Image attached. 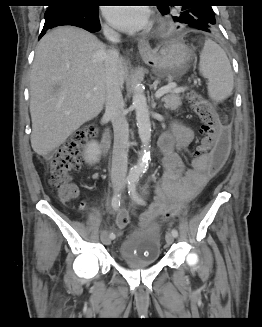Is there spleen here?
Returning <instances> with one entry per match:
<instances>
[{
  "instance_id": "spleen-1",
  "label": "spleen",
  "mask_w": 262,
  "mask_h": 327,
  "mask_svg": "<svg viewBox=\"0 0 262 327\" xmlns=\"http://www.w3.org/2000/svg\"><path fill=\"white\" fill-rule=\"evenodd\" d=\"M199 70L208 79V94L216 102L228 98L233 90V72L224 50L208 39L200 54Z\"/></svg>"
}]
</instances>
